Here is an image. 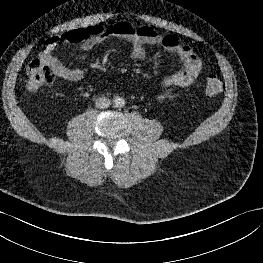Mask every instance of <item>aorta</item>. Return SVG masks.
<instances>
[{
  "mask_svg": "<svg viewBox=\"0 0 263 263\" xmlns=\"http://www.w3.org/2000/svg\"><path fill=\"white\" fill-rule=\"evenodd\" d=\"M114 106L117 108H122L125 105V100L121 97H117L114 99Z\"/></svg>",
  "mask_w": 263,
  "mask_h": 263,
  "instance_id": "1",
  "label": "aorta"
}]
</instances>
